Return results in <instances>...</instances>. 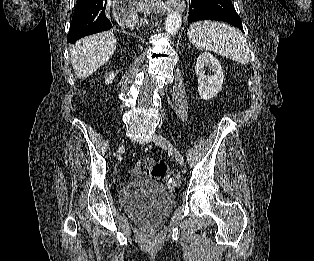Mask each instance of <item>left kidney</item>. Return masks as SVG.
<instances>
[{
  "mask_svg": "<svg viewBox=\"0 0 314 261\" xmlns=\"http://www.w3.org/2000/svg\"><path fill=\"white\" fill-rule=\"evenodd\" d=\"M212 69V75H205L204 67ZM195 71L198 75V93L204 100L215 97L222 89L223 71L219 61L208 52L202 53L196 62Z\"/></svg>",
  "mask_w": 314,
  "mask_h": 261,
  "instance_id": "1",
  "label": "left kidney"
}]
</instances>
